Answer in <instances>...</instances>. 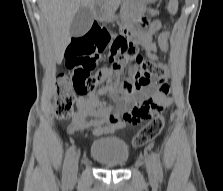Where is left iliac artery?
I'll list each match as a JSON object with an SVG mask.
<instances>
[{
  "mask_svg": "<svg viewBox=\"0 0 223 191\" xmlns=\"http://www.w3.org/2000/svg\"><path fill=\"white\" fill-rule=\"evenodd\" d=\"M150 158H151V161H152V163L154 165V169H155L156 175H157L158 179L161 180L162 177H163L161 163H160L157 155L155 153H153V152H151Z\"/></svg>",
  "mask_w": 223,
  "mask_h": 191,
  "instance_id": "left-iliac-artery-1",
  "label": "left iliac artery"
}]
</instances>
